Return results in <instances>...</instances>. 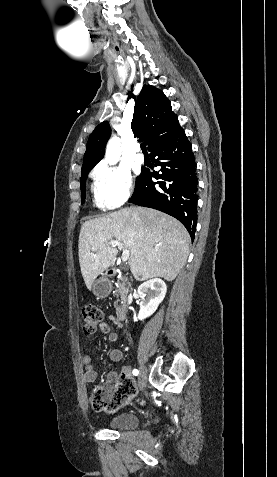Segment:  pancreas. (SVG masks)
<instances>
[{
  "instance_id": "cf45deb5",
  "label": "pancreas",
  "mask_w": 277,
  "mask_h": 477,
  "mask_svg": "<svg viewBox=\"0 0 277 477\" xmlns=\"http://www.w3.org/2000/svg\"><path fill=\"white\" fill-rule=\"evenodd\" d=\"M126 287H125V281L123 279H121L120 281H118V289H117V296H120L121 300L122 301H126ZM116 308H118V306H116Z\"/></svg>"
}]
</instances>
